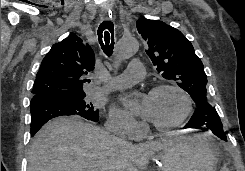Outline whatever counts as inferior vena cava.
<instances>
[{
	"label": "inferior vena cava",
	"instance_id": "602c4592",
	"mask_svg": "<svg viewBox=\"0 0 245 171\" xmlns=\"http://www.w3.org/2000/svg\"><path fill=\"white\" fill-rule=\"evenodd\" d=\"M107 129H108V130H111V127L107 126Z\"/></svg>",
	"mask_w": 245,
	"mask_h": 171
}]
</instances>
